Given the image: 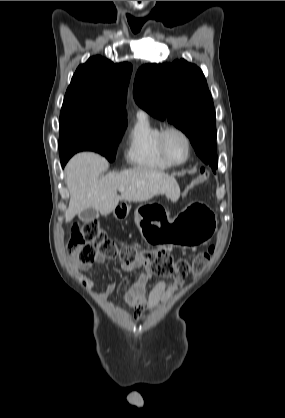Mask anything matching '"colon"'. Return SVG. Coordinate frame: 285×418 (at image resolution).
<instances>
[{
	"mask_svg": "<svg viewBox=\"0 0 285 418\" xmlns=\"http://www.w3.org/2000/svg\"><path fill=\"white\" fill-rule=\"evenodd\" d=\"M212 176L213 173L210 170L202 169L200 172V177L204 181L210 180ZM68 252L71 257L76 258L83 265H92L98 254L118 255L126 263L148 261L151 270L156 275L170 278L185 277L189 273H200L212 255V249H208L197 254L191 264H188L185 261L175 260L163 250L139 249L131 245L119 247L103 227L95 222L74 225L68 239ZM82 283L87 285V279L83 278Z\"/></svg>",
	"mask_w": 285,
	"mask_h": 418,
	"instance_id": "5ec220e1",
	"label": "colon"
}]
</instances>
